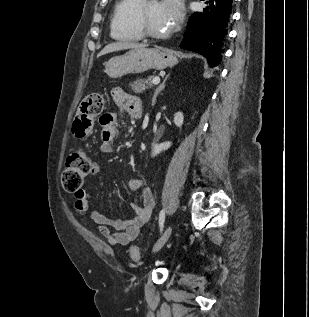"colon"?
I'll return each instance as SVG.
<instances>
[{"label": "colon", "mask_w": 309, "mask_h": 317, "mask_svg": "<svg viewBox=\"0 0 309 317\" xmlns=\"http://www.w3.org/2000/svg\"><path fill=\"white\" fill-rule=\"evenodd\" d=\"M105 106L106 99L102 94L93 93L87 95L82 100L73 121L74 134L77 137L86 136L93 127L94 118L103 112ZM91 170L92 164L87 154L82 150L73 151L67 157L61 176L64 190L70 193L79 192ZM130 254L134 260H139L140 254L136 247H131Z\"/></svg>", "instance_id": "obj_1"}]
</instances>
